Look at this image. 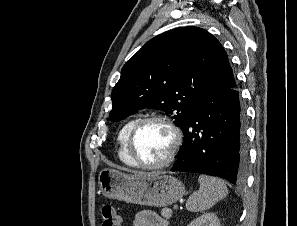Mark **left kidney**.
I'll return each mask as SVG.
<instances>
[{
  "label": "left kidney",
  "mask_w": 297,
  "mask_h": 226,
  "mask_svg": "<svg viewBox=\"0 0 297 226\" xmlns=\"http://www.w3.org/2000/svg\"><path fill=\"white\" fill-rule=\"evenodd\" d=\"M187 226H220V221L215 213L209 212L197 217Z\"/></svg>",
  "instance_id": "left-kidney-1"
}]
</instances>
